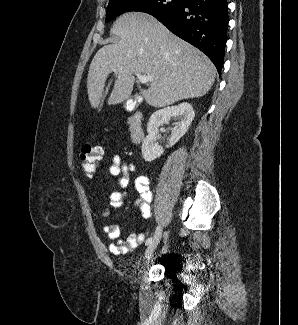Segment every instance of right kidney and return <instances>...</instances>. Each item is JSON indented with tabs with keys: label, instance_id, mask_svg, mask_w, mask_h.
Wrapping results in <instances>:
<instances>
[{
	"label": "right kidney",
	"instance_id": "1",
	"mask_svg": "<svg viewBox=\"0 0 298 325\" xmlns=\"http://www.w3.org/2000/svg\"><path fill=\"white\" fill-rule=\"evenodd\" d=\"M172 116H178L179 120L178 122H174L176 126L172 128L166 148L176 144L179 138L187 132L195 116V112L190 102H180L177 106H166V108H160V110H155V112L151 114L147 124L148 134L145 136L141 148L142 156L144 160H147V163H151V160H155V158L163 154L164 148L157 142L159 126H161V124H167Z\"/></svg>",
	"mask_w": 298,
	"mask_h": 325
}]
</instances>
